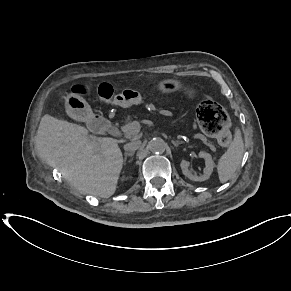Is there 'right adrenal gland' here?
<instances>
[{
    "label": "right adrenal gland",
    "mask_w": 291,
    "mask_h": 291,
    "mask_svg": "<svg viewBox=\"0 0 291 291\" xmlns=\"http://www.w3.org/2000/svg\"><path fill=\"white\" fill-rule=\"evenodd\" d=\"M124 163L126 162V160H127V157L129 156V157H131V159L133 160V156H134V152H129V153H124Z\"/></svg>",
    "instance_id": "obj_1"
}]
</instances>
